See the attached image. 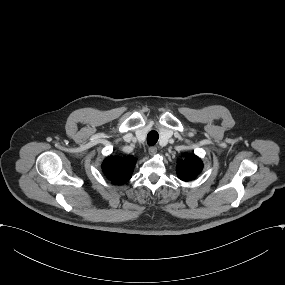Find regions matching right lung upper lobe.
<instances>
[{
    "mask_svg": "<svg viewBox=\"0 0 285 285\" xmlns=\"http://www.w3.org/2000/svg\"><path fill=\"white\" fill-rule=\"evenodd\" d=\"M135 163L136 158L131 155L124 157L111 155L104 160L102 169L112 183L124 184L131 178Z\"/></svg>",
    "mask_w": 285,
    "mask_h": 285,
    "instance_id": "right-lung-upper-lobe-1",
    "label": "right lung upper lobe"
}]
</instances>
